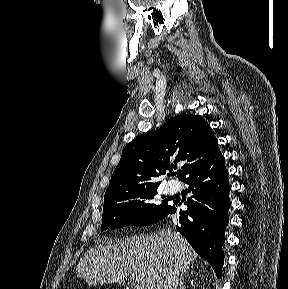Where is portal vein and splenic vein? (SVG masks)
I'll list each match as a JSON object with an SVG mask.
<instances>
[{
	"label": "portal vein and splenic vein",
	"mask_w": 288,
	"mask_h": 289,
	"mask_svg": "<svg viewBox=\"0 0 288 289\" xmlns=\"http://www.w3.org/2000/svg\"><path fill=\"white\" fill-rule=\"evenodd\" d=\"M133 289H138V286H136V287L134 286Z\"/></svg>",
	"instance_id": "1"
}]
</instances>
